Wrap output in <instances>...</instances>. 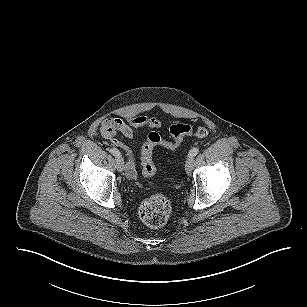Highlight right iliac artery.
<instances>
[{
	"instance_id": "right-iliac-artery-1",
	"label": "right iliac artery",
	"mask_w": 307,
	"mask_h": 307,
	"mask_svg": "<svg viewBox=\"0 0 307 307\" xmlns=\"http://www.w3.org/2000/svg\"><path fill=\"white\" fill-rule=\"evenodd\" d=\"M110 153L116 157H121V153L116 148H111Z\"/></svg>"
}]
</instances>
